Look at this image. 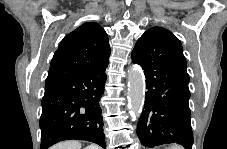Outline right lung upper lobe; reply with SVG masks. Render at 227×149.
I'll return each mask as SVG.
<instances>
[{
	"label": "right lung upper lobe",
	"mask_w": 227,
	"mask_h": 149,
	"mask_svg": "<svg viewBox=\"0 0 227 149\" xmlns=\"http://www.w3.org/2000/svg\"><path fill=\"white\" fill-rule=\"evenodd\" d=\"M108 36L97 23H85L66 35L56 50L45 87L89 72L109 61Z\"/></svg>",
	"instance_id": "obj_1"
}]
</instances>
